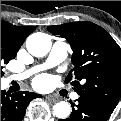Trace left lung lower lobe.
I'll list each match as a JSON object with an SVG mask.
<instances>
[{"mask_svg":"<svg viewBox=\"0 0 121 121\" xmlns=\"http://www.w3.org/2000/svg\"><path fill=\"white\" fill-rule=\"evenodd\" d=\"M78 104H72V113L69 118L58 121H107L113 110L100 103L80 96Z\"/></svg>","mask_w":121,"mask_h":121,"instance_id":"0a47b994","label":"left lung lower lobe"}]
</instances>
